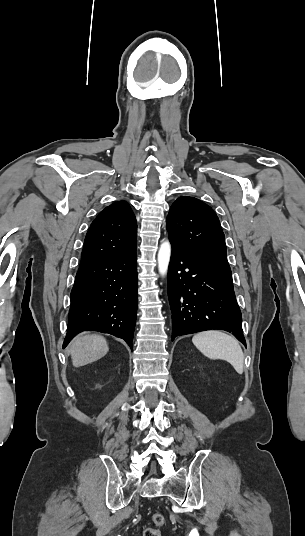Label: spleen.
I'll return each mask as SVG.
<instances>
[{
	"instance_id": "1",
	"label": "spleen",
	"mask_w": 305,
	"mask_h": 536,
	"mask_svg": "<svg viewBox=\"0 0 305 536\" xmlns=\"http://www.w3.org/2000/svg\"><path fill=\"white\" fill-rule=\"evenodd\" d=\"M192 342L210 360H226L238 374H243L244 354L235 338L223 332H200Z\"/></svg>"
}]
</instances>
